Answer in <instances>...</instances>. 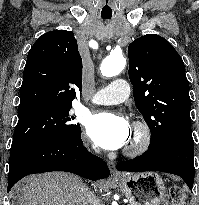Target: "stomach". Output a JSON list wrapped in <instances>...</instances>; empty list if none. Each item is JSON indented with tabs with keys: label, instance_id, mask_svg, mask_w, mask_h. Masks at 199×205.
<instances>
[{
	"label": "stomach",
	"instance_id": "obj_1",
	"mask_svg": "<svg viewBox=\"0 0 199 205\" xmlns=\"http://www.w3.org/2000/svg\"><path fill=\"white\" fill-rule=\"evenodd\" d=\"M131 205H159L165 196V184L155 172L126 174L118 180Z\"/></svg>",
	"mask_w": 199,
	"mask_h": 205
}]
</instances>
